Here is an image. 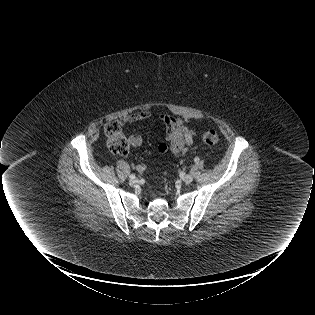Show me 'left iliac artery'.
<instances>
[{
  "mask_svg": "<svg viewBox=\"0 0 315 315\" xmlns=\"http://www.w3.org/2000/svg\"><path fill=\"white\" fill-rule=\"evenodd\" d=\"M194 161H195V162H199V158L196 157V158L194 159Z\"/></svg>",
  "mask_w": 315,
  "mask_h": 315,
  "instance_id": "44dca946",
  "label": "left iliac artery"
}]
</instances>
